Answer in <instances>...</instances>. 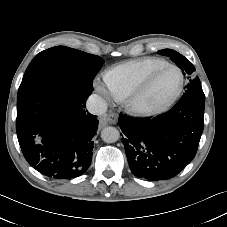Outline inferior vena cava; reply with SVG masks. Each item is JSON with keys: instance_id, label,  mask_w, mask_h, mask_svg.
Masks as SVG:
<instances>
[{"instance_id": "602c4592", "label": "inferior vena cava", "mask_w": 227, "mask_h": 227, "mask_svg": "<svg viewBox=\"0 0 227 227\" xmlns=\"http://www.w3.org/2000/svg\"><path fill=\"white\" fill-rule=\"evenodd\" d=\"M87 110L93 115H102L107 111V103L97 94L89 96L86 102Z\"/></svg>"}]
</instances>
